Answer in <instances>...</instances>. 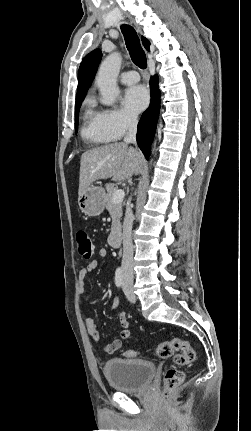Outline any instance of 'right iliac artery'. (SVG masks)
Masks as SVG:
<instances>
[{"label":"right iliac artery","instance_id":"right-iliac-artery-1","mask_svg":"<svg viewBox=\"0 0 251 431\" xmlns=\"http://www.w3.org/2000/svg\"><path fill=\"white\" fill-rule=\"evenodd\" d=\"M115 284L117 287H121L123 284V275L120 268H118L115 273Z\"/></svg>","mask_w":251,"mask_h":431}]
</instances>
